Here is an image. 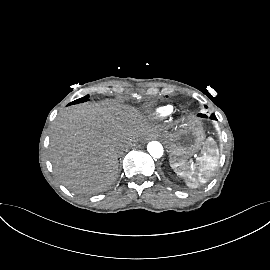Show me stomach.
<instances>
[{"instance_id": "1", "label": "stomach", "mask_w": 270, "mask_h": 270, "mask_svg": "<svg viewBox=\"0 0 270 270\" xmlns=\"http://www.w3.org/2000/svg\"><path fill=\"white\" fill-rule=\"evenodd\" d=\"M204 131L198 120H186L172 132L164 134V141L170 152V165L177 172L182 171L181 163L195 153L203 144Z\"/></svg>"}]
</instances>
